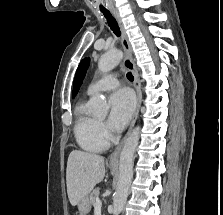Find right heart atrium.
Segmentation results:
<instances>
[{
    "instance_id": "1",
    "label": "right heart atrium",
    "mask_w": 223,
    "mask_h": 215,
    "mask_svg": "<svg viewBox=\"0 0 223 215\" xmlns=\"http://www.w3.org/2000/svg\"><path fill=\"white\" fill-rule=\"evenodd\" d=\"M99 128H100L101 133L104 136H109L111 134V132L108 129V126L106 125V123H104L102 121H99Z\"/></svg>"
}]
</instances>
